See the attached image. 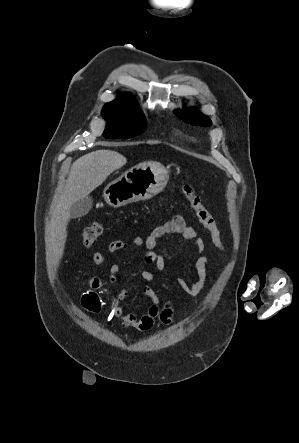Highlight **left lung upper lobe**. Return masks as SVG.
<instances>
[{
  "instance_id": "5c2ea615",
  "label": "left lung upper lobe",
  "mask_w": 299,
  "mask_h": 443,
  "mask_svg": "<svg viewBox=\"0 0 299 443\" xmlns=\"http://www.w3.org/2000/svg\"><path fill=\"white\" fill-rule=\"evenodd\" d=\"M174 113L180 119L192 125L208 127L212 124L211 120L207 116H205L204 114L200 113L199 111L193 108L178 110L175 111Z\"/></svg>"
}]
</instances>
